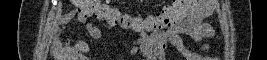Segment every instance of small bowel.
<instances>
[{"instance_id": "obj_1", "label": "small bowel", "mask_w": 267, "mask_h": 60, "mask_svg": "<svg viewBox=\"0 0 267 60\" xmlns=\"http://www.w3.org/2000/svg\"><path fill=\"white\" fill-rule=\"evenodd\" d=\"M212 0H190L189 10L180 23L166 31L153 34L140 32L135 39L130 53L132 55H143L146 60H164L165 50L168 45L174 47L185 60H211V57L201 55L189 50L182 39V35L191 37L200 48L207 52L209 44L205 41L214 36L213 26L203 20L210 16L214 10ZM73 21L86 24V30L91 39H100L101 30L96 25L89 22V17L70 10L64 19L66 25ZM61 33L62 27L57 30ZM56 49L71 56H82L90 51L89 43L83 39H77L70 44L68 40L56 44Z\"/></svg>"}]
</instances>
